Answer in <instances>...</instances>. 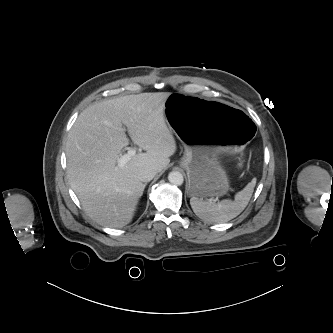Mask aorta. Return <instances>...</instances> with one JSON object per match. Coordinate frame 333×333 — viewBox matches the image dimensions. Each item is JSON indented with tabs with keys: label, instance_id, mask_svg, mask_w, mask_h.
Wrapping results in <instances>:
<instances>
[{
	"label": "aorta",
	"instance_id": "762f6f07",
	"mask_svg": "<svg viewBox=\"0 0 333 333\" xmlns=\"http://www.w3.org/2000/svg\"><path fill=\"white\" fill-rule=\"evenodd\" d=\"M168 180L170 183L178 186L182 185L184 182L183 175L178 171L170 172L168 175Z\"/></svg>",
	"mask_w": 333,
	"mask_h": 333
}]
</instances>
